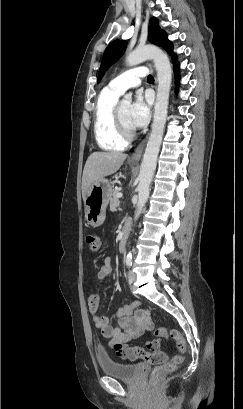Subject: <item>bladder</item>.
Here are the masks:
<instances>
[{
	"mask_svg": "<svg viewBox=\"0 0 243 409\" xmlns=\"http://www.w3.org/2000/svg\"><path fill=\"white\" fill-rule=\"evenodd\" d=\"M99 365L104 374L124 381H134L141 372L140 364L121 363L113 359L99 358Z\"/></svg>",
	"mask_w": 243,
	"mask_h": 409,
	"instance_id": "31cf9c89",
	"label": "bladder"
}]
</instances>
